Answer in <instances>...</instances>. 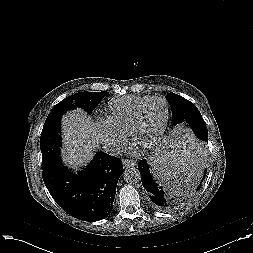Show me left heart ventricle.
I'll use <instances>...</instances> for the list:
<instances>
[{
  "instance_id": "obj_1",
  "label": "left heart ventricle",
  "mask_w": 253,
  "mask_h": 253,
  "mask_svg": "<svg viewBox=\"0 0 253 253\" xmlns=\"http://www.w3.org/2000/svg\"><path fill=\"white\" fill-rule=\"evenodd\" d=\"M166 117V105L162 100L150 102L142 111L139 123L133 135L138 146L149 144L159 133Z\"/></svg>"
}]
</instances>
